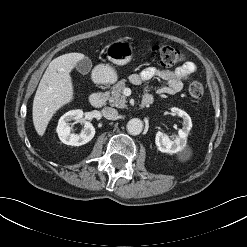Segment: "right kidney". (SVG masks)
I'll return each instance as SVG.
<instances>
[{
  "label": "right kidney",
  "instance_id": "right-kidney-1",
  "mask_svg": "<svg viewBox=\"0 0 247 247\" xmlns=\"http://www.w3.org/2000/svg\"><path fill=\"white\" fill-rule=\"evenodd\" d=\"M82 118V110H71L61 116L56 131L59 139L64 144L71 146H81L88 143L94 137L95 128L88 121L84 122V129L81 131L80 135L70 133L71 128L69 122L72 120H81Z\"/></svg>",
  "mask_w": 247,
  "mask_h": 247
}]
</instances>
